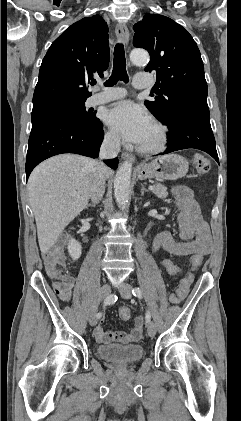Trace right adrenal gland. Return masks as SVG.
<instances>
[{"label": "right adrenal gland", "mask_w": 241, "mask_h": 421, "mask_svg": "<svg viewBox=\"0 0 241 421\" xmlns=\"http://www.w3.org/2000/svg\"><path fill=\"white\" fill-rule=\"evenodd\" d=\"M95 205H96V203L92 202V203H90V204H87L86 208H89V207H94Z\"/></svg>", "instance_id": "1"}]
</instances>
